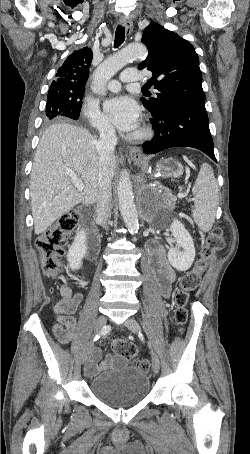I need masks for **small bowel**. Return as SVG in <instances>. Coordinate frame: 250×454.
<instances>
[{
	"mask_svg": "<svg viewBox=\"0 0 250 454\" xmlns=\"http://www.w3.org/2000/svg\"><path fill=\"white\" fill-rule=\"evenodd\" d=\"M149 253L151 268L158 289L163 296H168L172 284L176 281V272L170 265L166 250L162 245L157 243L150 244ZM60 294L61 299L54 307L56 322L53 325V332L61 343L68 344L73 340L76 333V320L73 314L80 307L83 296L80 293H73L67 285L61 287ZM100 356L101 352L99 349H94L90 353L84 367V372L87 376L96 375L100 370L109 367L114 362L111 356L99 361Z\"/></svg>",
	"mask_w": 250,
	"mask_h": 454,
	"instance_id": "small-bowel-1",
	"label": "small bowel"
}]
</instances>
